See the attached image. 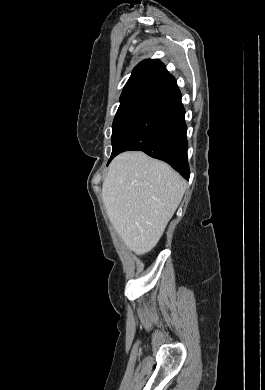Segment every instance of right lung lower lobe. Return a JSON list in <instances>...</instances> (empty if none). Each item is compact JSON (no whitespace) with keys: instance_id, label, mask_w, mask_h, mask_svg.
<instances>
[{"instance_id":"right-lung-lower-lobe-1","label":"right lung lower lobe","mask_w":265,"mask_h":390,"mask_svg":"<svg viewBox=\"0 0 265 390\" xmlns=\"http://www.w3.org/2000/svg\"><path fill=\"white\" fill-rule=\"evenodd\" d=\"M184 117L181 93L176 86L154 100L133 120L120 137L108 163L121 152L143 151L167 162L188 180L190 170Z\"/></svg>"}]
</instances>
